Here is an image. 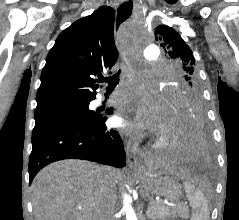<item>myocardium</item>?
I'll return each instance as SVG.
<instances>
[{"instance_id": "f54148a6", "label": "myocardium", "mask_w": 239, "mask_h": 220, "mask_svg": "<svg viewBox=\"0 0 239 220\" xmlns=\"http://www.w3.org/2000/svg\"><path fill=\"white\" fill-rule=\"evenodd\" d=\"M170 145V138L167 135L160 136L154 143L153 148H166Z\"/></svg>"}]
</instances>
